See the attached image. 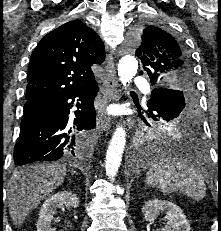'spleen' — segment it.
<instances>
[{
    "mask_svg": "<svg viewBox=\"0 0 221 231\" xmlns=\"http://www.w3.org/2000/svg\"><path fill=\"white\" fill-rule=\"evenodd\" d=\"M145 182L165 194L180 192L197 201L206 195L201 172L184 159L168 157L155 162L147 172Z\"/></svg>",
    "mask_w": 221,
    "mask_h": 231,
    "instance_id": "3e777b00",
    "label": "spleen"
}]
</instances>
